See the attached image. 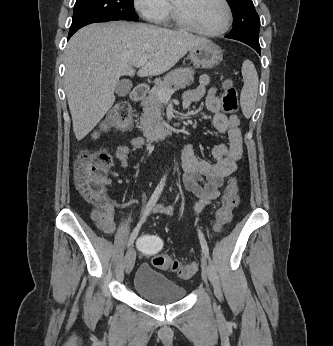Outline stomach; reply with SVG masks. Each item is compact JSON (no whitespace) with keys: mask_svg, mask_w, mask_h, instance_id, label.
Segmentation results:
<instances>
[{"mask_svg":"<svg viewBox=\"0 0 333 346\" xmlns=\"http://www.w3.org/2000/svg\"><path fill=\"white\" fill-rule=\"evenodd\" d=\"M223 58L221 48L212 42H206L190 50L192 63L204 69L216 67Z\"/></svg>","mask_w":333,"mask_h":346,"instance_id":"0dacf381","label":"stomach"}]
</instances>
